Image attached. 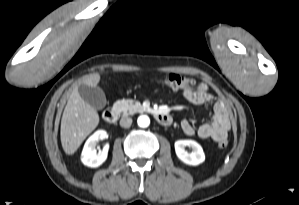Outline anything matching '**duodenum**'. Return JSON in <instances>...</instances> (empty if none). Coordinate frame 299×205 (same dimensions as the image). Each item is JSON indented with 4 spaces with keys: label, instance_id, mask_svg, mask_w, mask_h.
<instances>
[{
    "label": "duodenum",
    "instance_id": "1",
    "mask_svg": "<svg viewBox=\"0 0 299 205\" xmlns=\"http://www.w3.org/2000/svg\"><path fill=\"white\" fill-rule=\"evenodd\" d=\"M156 120L162 125H170L172 117L169 113L158 111L155 113ZM103 119L108 123H114L118 119V110L114 107H108L103 112Z\"/></svg>",
    "mask_w": 299,
    "mask_h": 205
}]
</instances>
